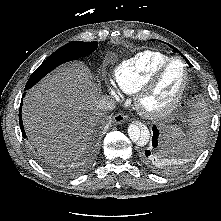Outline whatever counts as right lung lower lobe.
<instances>
[{"instance_id":"right-lung-lower-lobe-1","label":"right lung lower lobe","mask_w":221,"mask_h":221,"mask_svg":"<svg viewBox=\"0 0 221 221\" xmlns=\"http://www.w3.org/2000/svg\"><path fill=\"white\" fill-rule=\"evenodd\" d=\"M19 123H20V128H21V131H22V135H23L24 138H26V134H25V131H24L23 123H22L21 108H20V113H19Z\"/></svg>"}]
</instances>
